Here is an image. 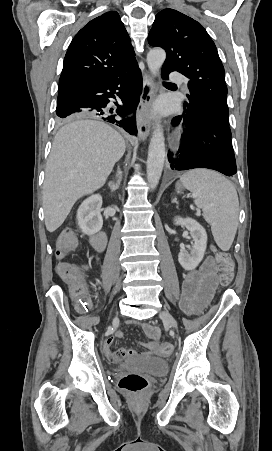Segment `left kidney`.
Returning <instances> with one entry per match:
<instances>
[{"label": "left kidney", "instance_id": "obj_1", "mask_svg": "<svg viewBox=\"0 0 272 451\" xmlns=\"http://www.w3.org/2000/svg\"><path fill=\"white\" fill-rule=\"evenodd\" d=\"M175 226H185L189 229L194 243L189 247L190 251H179L178 261L184 269H195L198 263L202 261L207 245V233L204 227L200 226L192 218H175Z\"/></svg>", "mask_w": 272, "mask_h": 451}]
</instances>
